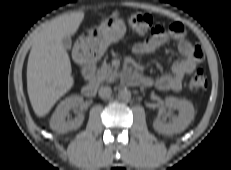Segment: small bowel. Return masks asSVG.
Instances as JSON below:
<instances>
[{
  "label": "small bowel",
  "instance_id": "small-bowel-1",
  "mask_svg": "<svg viewBox=\"0 0 231 170\" xmlns=\"http://www.w3.org/2000/svg\"><path fill=\"white\" fill-rule=\"evenodd\" d=\"M176 40L181 59L175 61L171 66V71L164 73L155 80L147 76H139V83L145 86H155L157 89L166 91H179L183 86L186 75L193 72L197 65L203 60V50L200 46L192 45L185 38V28L179 22L172 23L162 34L153 35L150 38L137 42L132 50L137 55H149L154 53L159 47Z\"/></svg>",
  "mask_w": 231,
  "mask_h": 170
}]
</instances>
